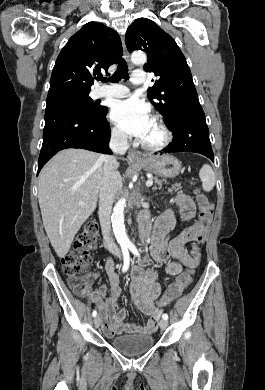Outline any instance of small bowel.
I'll return each instance as SVG.
<instances>
[{
    "label": "small bowel",
    "mask_w": 265,
    "mask_h": 390,
    "mask_svg": "<svg viewBox=\"0 0 265 390\" xmlns=\"http://www.w3.org/2000/svg\"><path fill=\"white\" fill-rule=\"evenodd\" d=\"M184 220H190L195 215V204L188 195L179 193L175 197ZM148 218V214L144 213ZM175 224V216L171 210H166L156 220L151 232L152 249L148 261L166 263V272L171 276L181 273L182 267L195 268L199 264V249L195 242H200L205 234V221L188 226L179 231L174 237L170 232ZM192 243V255L188 254L185 245ZM106 271L109 278V288L103 284L91 298L103 319V330L109 337L123 333L148 334L156 330L160 317L158 300L166 291L157 282L156 272L145 270L141 265L135 266L131 272L130 297L133 306L144 315L140 323H125L127 311L118 306L121 294L119 277L115 272L112 259L106 261Z\"/></svg>",
    "instance_id": "obj_1"
}]
</instances>
